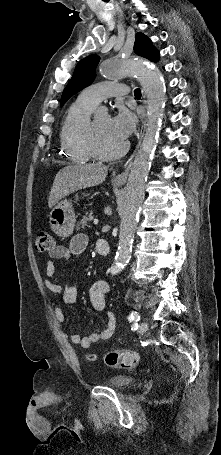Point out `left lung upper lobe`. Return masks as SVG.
Listing matches in <instances>:
<instances>
[{"instance_id":"obj_1","label":"left lung upper lobe","mask_w":221,"mask_h":455,"mask_svg":"<svg viewBox=\"0 0 221 455\" xmlns=\"http://www.w3.org/2000/svg\"><path fill=\"white\" fill-rule=\"evenodd\" d=\"M134 51L136 54L151 61L157 62L159 60V52L155 49L151 40L140 32L136 34ZM99 60L100 57L94 54L85 57L77 64L71 80L63 91L60 102L61 106H63L71 96L93 82Z\"/></svg>"}]
</instances>
